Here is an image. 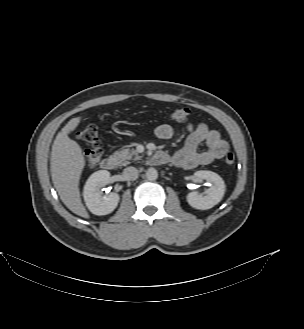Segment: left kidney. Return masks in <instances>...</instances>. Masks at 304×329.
<instances>
[{
    "label": "left kidney",
    "mask_w": 304,
    "mask_h": 329,
    "mask_svg": "<svg viewBox=\"0 0 304 329\" xmlns=\"http://www.w3.org/2000/svg\"><path fill=\"white\" fill-rule=\"evenodd\" d=\"M197 181L206 180L210 184L205 195L191 192L187 195V202L195 209L207 210L218 204L225 193V183L223 179L212 171L201 170L194 173Z\"/></svg>",
    "instance_id": "1"
}]
</instances>
